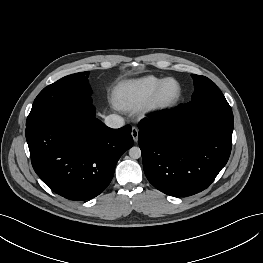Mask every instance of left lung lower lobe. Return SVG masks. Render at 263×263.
Returning a JSON list of instances; mask_svg holds the SVG:
<instances>
[{
    "mask_svg": "<svg viewBox=\"0 0 263 263\" xmlns=\"http://www.w3.org/2000/svg\"><path fill=\"white\" fill-rule=\"evenodd\" d=\"M232 109L189 112L180 105L139 124L144 172L161 192L175 197L206 189L227 163Z\"/></svg>",
    "mask_w": 263,
    "mask_h": 263,
    "instance_id": "obj_1",
    "label": "left lung lower lobe"
}]
</instances>
